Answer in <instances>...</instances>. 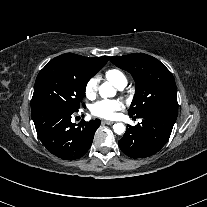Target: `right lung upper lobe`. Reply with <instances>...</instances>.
<instances>
[{"label": "right lung upper lobe", "instance_id": "right-lung-upper-lobe-1", "mask_svg": "<svg viewBox=\"0 0 207 207\" xmlns=\"http://www.w3.org/2000/svg\"><path fill=\"white\" fill-rule=\"evenodd\" d=\"M58 58L68 59V60L77 62L81 65H84L86 67H89L91 69H99V68L101 69L106 64L109 57L102 56V57H97V58H87V57L75 55L72 53H66V54L58 56Z\"/></svg>", "mask_w": 207, "mask_h": 207}]
</instances>
